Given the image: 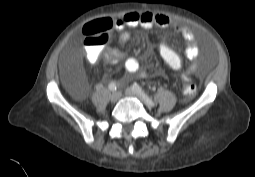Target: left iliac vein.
<instances>
[{
    "label": "left iliac vein",
    "mask_w": 255,
    "mask_h": 177,
    "mask_svg": "<svg viewBox=\"0 0 255 177\" xmlns=\"http://www.w3.org/2000/svg\"><path fill=\"white\" fill-rule=\"evenodd\" d=\"M125 93L128 95V96H132V97H137L139 98L144 104H146L148 107H151V105H149L145 99L139 94L137 93L136 91H134L132 88H127L125 90Z\"/></svg>",
    "instance_id": "4c4485c4"
}]
</instances>
